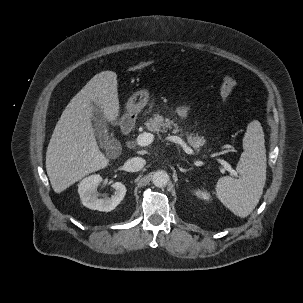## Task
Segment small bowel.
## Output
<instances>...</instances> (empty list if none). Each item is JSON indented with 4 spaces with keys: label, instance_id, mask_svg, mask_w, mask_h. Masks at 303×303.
<instances>
[{
    "label": "small bowel",
    "instance_id": "small-bowel-1",
    "mask_svg": "<svg viewBox=\"0 0 303 303\" xmlns=\"http://www.w3.org/2000/svg\"><path fill=\"white\" fill-rule=\"evenodd\" d=\"M187 113H188V109L187 107H180L178 109V115L181 117V118H185L187 116Z\"/></svg>",
    "mask_w": 303,
    "mask_h": 303
}]
</instances>
